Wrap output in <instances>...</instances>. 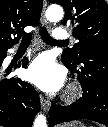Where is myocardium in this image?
<instances>
[{
  "label": "myocardium",
  "instance_id": "f54148a6",
  "mask_svg": "<svg viewBox=\"0 0 108 127\" xmlns=\"http://www.w3.org/2000/svg\"><path fill=\"white\" fill-rule=\"evenodd\" d=\"M79 96V87L76 84H71L65 91L64 98L68 102L76 100Z\"/></svg>",
  "mask_w": 108,
  "mask_h": 127
}]
</instances>
